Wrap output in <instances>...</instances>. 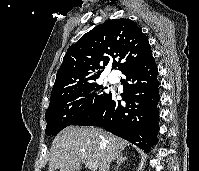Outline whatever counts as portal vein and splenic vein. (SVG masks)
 I'll return each mask as SVG.
<instances>
[{"label":"portal vein and splenic vein","instance_id":"1","mask_svg":"<svg viewBox=\"0 0 199 171\" xmlns=\"http://www.w3.org/2000/svg\"><path fill=\"white\" fill-rule=\"evenodd\" d=\"M85 165L91 170L96 171L98 168V165L95 162H86Z\"/></svg>","mask_w":199,"mask_h":171}]
</instances>
